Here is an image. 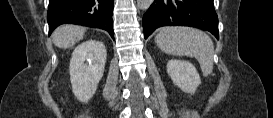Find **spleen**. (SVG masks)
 <instances>
[{"label": "spleen", "instance_id": "1", "mask_svg": "<svg viewBox=\"0 0 273 118\" xmlns=\"http://www.w3.org/2000/svg\"><path fill=\"white\" fill-rule=\"evenodd\" d=\"M155 42L167 54L195 57L204 75L212 73L214 45L204 32L193 28H161Z\"/></svg>", "mask_w": 273, "mask_h": 118}]
</instances>
